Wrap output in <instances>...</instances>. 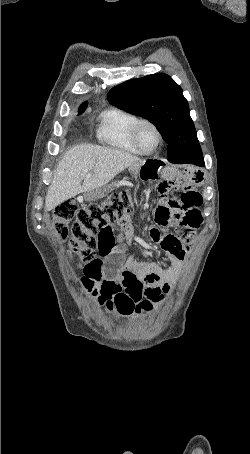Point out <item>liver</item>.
I'll use <instances>...</instances> for the list:
<instances>
[{
    "label": "liver",
    "mask_w": 250,
    "mask_h": 454,
    "mask_svg": "<svg viewBox=\"0 0 250 454\" xmlns=\"http://www.w3.org/2000/svg\"><path fill=\"white\" fill-rule=\"evenodd\" d=\"M144 162L119 149L89 144L74 146L64 154L55 170L45 198L46 210L51 211L78 194L105 186L127 167ZM88 173L90 177H86Z\"/></svg>",
    "instance_id": "1"
}]
</instances>
